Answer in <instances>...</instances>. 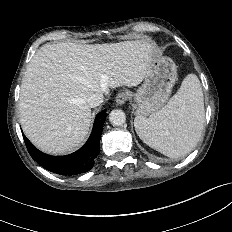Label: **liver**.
<instances>
[{"label": "liver", "mask_w": 232, "mask_h": 232, "mask_svg": "<svg viewBox=\"0 0 232 232\" xmlns=\"http://www.w3.org/2000/svg\"><path fill=\"white\" fill-rule=\"evenodd\" d=\"M154 57L148 40L43 45L28 64L19 100L25 135L40 150L63 154L88 134L93 93L140 84Z\"/></svg>", "instance_id": "6515ba94"}]
</instances>
